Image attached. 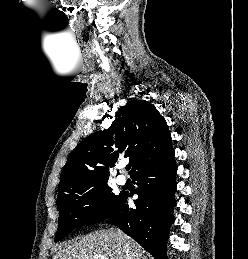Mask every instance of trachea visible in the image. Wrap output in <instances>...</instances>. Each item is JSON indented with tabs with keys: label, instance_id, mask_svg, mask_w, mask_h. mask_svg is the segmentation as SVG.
Wrapping results in <instances>:
<instances>
[{
	"label": "trachea",
	"instance_id": "1",
	"mask_svg": "<svg viewBox=\"0 0 248 259\" xmlns=\"http://www.w3.org/2000/svg\"><path fill=\"white\" fill-rule=\"evenodd\" d=\"M130 168H131V165L128 164V165L126 166V170H130Z\"/></svg>",
	"mask_w": 248,
	"mask_h": 259
}]
</instances>
